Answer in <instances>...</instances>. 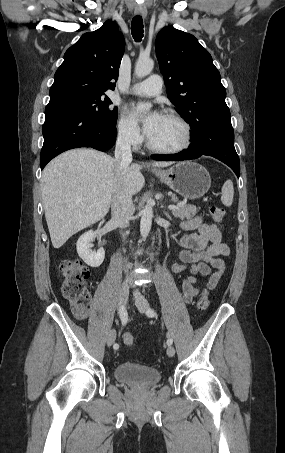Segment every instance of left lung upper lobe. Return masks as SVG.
Wrapping results in <instances>:
<instances>
[{
	"label": "left lung upper lobe",
	"instance_id": "left-lung-upper-lobe-1",
	"mask_svg": "<svg viewBox=\"0 0 285 453\" xmlns=\"http://www.w3.org/2000/svg\"><path fill=\"white\" fill-rule=\"evenodd\" d=\"M155 50L168 98L189 123L190 136L210 127H232L220 73L197 38L166 26L156 37Z\"/></svg>",
	"mask_w": 285,
	"mask_h": 453
}]
</instances>
